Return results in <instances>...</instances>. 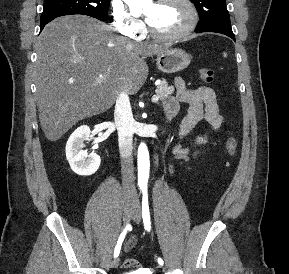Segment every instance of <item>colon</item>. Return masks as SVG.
Masks as SVG:
<instances>
[{
	"label": "colon",
	"mask_w": 289,
	"mask_h": 274,
	"mask_svg": "<svg viewBox=\"0 0 289 274\" xmlns=\"http://www.w3.org/2000/svg\"><path fill=\"white\" fill-rule=\"evenodd\" d=\"M199 77L205 83H212L214 80V71L210 67H201L199 69ZM237 150V141L233 136H229L226 141V151L229 156H234ZM122 267L132 271H142L151 274L150 271L140 269V263L134 259L129 258L124 260Z\"/></svg>",
	"instance_id": "obj_1"
}]
</instances>
